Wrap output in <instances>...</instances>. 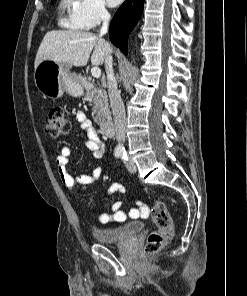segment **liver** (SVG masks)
Returning <instances> with one entry per match:
<instances>
[{
  "instance_id": "6515ba94",
  "label": "liver",
  "mask_w": 247,
  "mask_h": 296,
  "mask_svg": "<svg viewBox=\"0 0 247 296\" xmlns=\"http://www.w3.org/2000/svg\"><path fill=\"white\" fill-rule=\"evenodd\" d=\"M108 53H112L110 44L93 33L74 30L49 31L37 51L35 67L44 60L81 67L88 63L90 55L93 65H102Z\"/></svg>"
}]
</instances>
